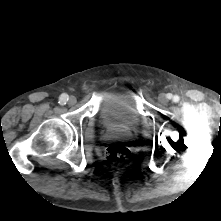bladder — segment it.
<instances>
[{
	"instance_id": "obj_1",
	"label": "bladder",
	"mask_w": 221,
	"mask_h": 221,
	"mask_svg": "<svg viewBox=\"0 0 221 221\" xmlns=\"http://www.w3.org/2000/svg\"><path fill=\"white\" fill-rule=\"evenodd\" d=\"M97 117L107 131L135 130L142 118L132 99L123 93H111L101 102Z\"/></svg>"
}]
</instances>
